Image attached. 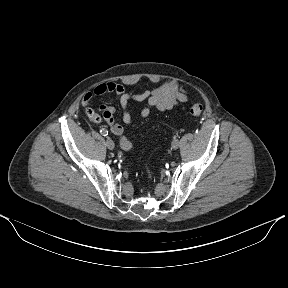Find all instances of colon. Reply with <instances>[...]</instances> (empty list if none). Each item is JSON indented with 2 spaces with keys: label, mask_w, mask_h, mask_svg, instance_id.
Here are the masks:
<instances>
[{
  "label": "colon",
  "mask_w": 288,
  "mask_h": 288,
  "mask_svg": "<svg viewBox=\"0 0 288 288\" xmlns=\"http://www.w3.org/2000/svg\"><path fill=\"white\" fill-rule=\"evenodd\" d=\"M202 111H203V107L201 104H198V103L193 104L189 110L192 118H197L198 116H200ZM87 115L89 119L94 122H97L101 119L100 115L92 109L87 110ZM121 145L124 149H127V150L132 147V144L126 138L121 139Z\"/></svg>",
  "instance_id": "5ec220e1"
}]
</instances>
